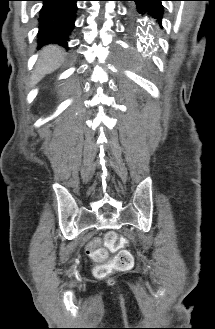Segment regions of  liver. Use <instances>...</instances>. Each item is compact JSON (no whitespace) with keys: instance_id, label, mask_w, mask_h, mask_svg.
I'll return each mask as SVG.
<instances>
[{"instance_id":"1","label":"liver","mask_w":215,"mask_h":329,"mask_svg":"<svg viewBox=\"0 0 215 329\" xmlns=\"http://www.w3.org/2000/svg\"><path fill=\"white\" fill-rule=\"evenodd\" d=\"M63 60V53L59 47H44L41 56L32 74L31 84L36 85L46 74H49L60 67Z\"/></svg>"}]
</instances>
